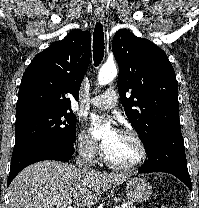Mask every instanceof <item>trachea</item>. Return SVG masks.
Returning a JSON list of instances; mask_svg holds the SVG:
<instances>
[{"label": "trachea", "instance_id": "3493384b", "mask_svg": "<svg viewBox=\"0 0 199 208\" xmlns=\"http://www.w3.org/2000/svg\"><path fill=\"white\" fill-rule=\"evenodd\" d=\"M104 32L103 26L99 22L95 25L93 33V60L94 66H98L103 60L104 56Z\"/></svg>", "mask_w": 199, "mask_h": 208}]
</instances>
